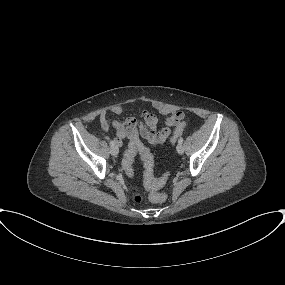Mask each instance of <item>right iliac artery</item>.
<instances>
[{"label": "right iliac artery", "instance_id": "obj_1", "mask_svg": "<svg viewBox=\"0 0 285 285\" xmlns=\"http://www.w3.org/2000/svg\"><path fill=\"white\" fill-rule=\"evenodd\" d=\"M109 144H110L111 147H113L115 145V142L114 141H110Z\"/></svg>", "mask_w": 285, "mask_h": 285}]
</instances>
